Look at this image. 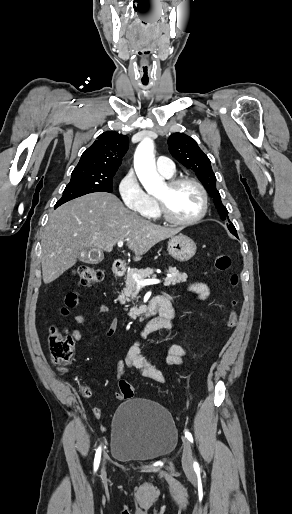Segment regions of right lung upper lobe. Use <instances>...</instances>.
Segmentation results:
<instances>
[{"label": "right lung upper lobe", "mask_w": 292, "mask_h": 514, "mask_svg": "<svg viewBox=\"0 0 292 514\" xmlns=\"http://www.w3.org/2000/svg\"><path fill=\"white\" fill-rule=\"evenodd\" d=\"M128 147L126 135L104 132L83 152L72 174L114 176Z\"/></svg>", "instance_id": "1"}]
</instances>
